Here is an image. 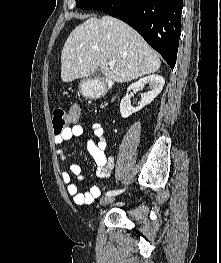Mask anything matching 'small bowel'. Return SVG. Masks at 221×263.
<instances>
[{
	"mask_svg": "<svg viewBox=\"0 0 221 263\" xmlns=\"http://www.w3.org/2000/svg\"><path fill=\"white\" fill-rule=\"evenodd\" d=\"M92 133L98 140L95 142L92 139L86 140V147L97 165L96 175L102 179L111 178L114 174V158L106 155L108 141L104 136V129L102 124L93 123L91 125ZM83 127L79 124L66 128L62 134L54 136V143L56 145V156L60 161L66 162L68 160L67 154L62 146L72 138L82 136ZM72 175L79 180L85 178V174L81 165L74 163L70 165V172H62L61 179L66 186V192L73 198V202L78 206L90 205L100 196V188L96 184H90L88 188L81 192L78 186L73 182Z\"/></svg>",
	"mask_w": 221,
	"mask_h": 263,
	"instance_id": "1",
	"label": "small bowel"
}]
</instances>
